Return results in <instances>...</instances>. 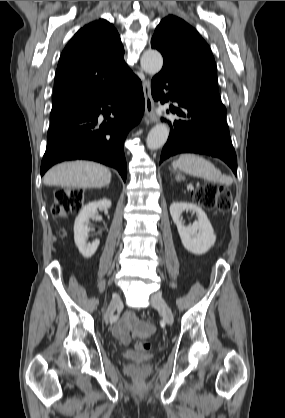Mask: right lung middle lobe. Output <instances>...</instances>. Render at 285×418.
<instances>
[{
	"mask_svg": "<svg viewBox=\"0 0 285 418\" xmlns=\"http://www.w3.org/2000/svg\"><path fill=\"white\" fill-rule=\"evenodd\" d=\"M84 107L85 105H75V106L54 108L51 110L50 123L56 122L65 116H68L74 112L80 111Z\"/></svg>",
	"mask_w": 285,
	"mask_h": 418,
	"instance_id": "dd1d6c3e",
	"label": "right lung middle lobe"
}]
</instances>
